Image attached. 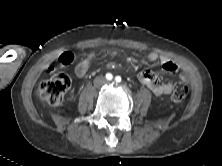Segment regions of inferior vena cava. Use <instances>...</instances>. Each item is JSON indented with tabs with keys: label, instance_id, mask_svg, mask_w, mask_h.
I'll list each match as a JSON object with an SVG mask.
<instances>
[{
	"label": "inferior vena cava",
	"instance_id": "602c4592",
	"mask_svg": "<svg viewBox=\"0 0 222 166\" xmlns=\"http://www.w3.org/2000/svg\"><path fill=\"white\" fill-rule=\"evenodd\" d=\"M98 80H99V79L96 78L95 81H94V84H95L96 86L98 85ZM102 82H106V80H105V79H102Z\"/></svg>",
	"mask_w": 222,
	"mask_h": 166
}]
</instances>
